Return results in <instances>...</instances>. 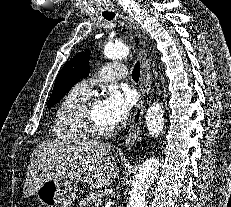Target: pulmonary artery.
I'll list each match as a JSON object with an SVG mask.
<instances>
[{"mask_svg":"<svg viewBox=\"0 0 231 207\" xmlns=\"http://www.w3.org/2000/svg\"><path fill=\"white\" fill-rule=\"evenodd\" d=\"M126 75L127 69L124 65L106 64L95 79H84L79 82L77 86L79 89L87 93L96 81H117L123 79Z\"/></svg>","mask_w":231,"mask_h":207,"instance_id":"e3ab8cb5","label":"pulmonary artery"}]
</instances>
